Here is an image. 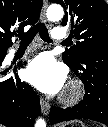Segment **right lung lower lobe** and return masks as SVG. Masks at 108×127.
<instances>
[{"label": "right lung lower lobe", "instance_id": "obj_1", "mask_svg": "<svg viewBox=\"0 0 108 127\" xmlns=\"http://www.w3.org/2000/svg\"><path fill=\"white\" fill-rule=\"evenodd\" d=\"M7 49L0 51V66ZM20 66V65H19ZM15 76L8 78L9 70L0 69V123L7 127H33L40 114V102L33 88Z\"/></svg>", "mask_w": 108, "mask_h": 127}]
</instances>
